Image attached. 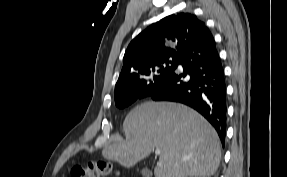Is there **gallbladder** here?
<instances>
[{
    "mask_svg": "<svg viewBox=\"0 0 287 177\" xmlns=\"http://www.w3.org/2000/svg\"><path fill=\"white\" fill-rule=\"evenodd\" d=\"M142 173H148V170L147 169H143Z\"/></svg>",
    "mask_w": 287,
    "mask_h": 177,
    "instance_id": "bac80fb5",
    "label": "gallbladder"
}]
</instances>
